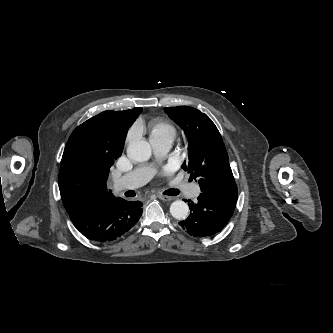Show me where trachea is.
Returning <instances> with one entry per match:
<instances>
[{
	"label": "trachea",
	"mask_w": 333,
	"mask_h": 333,
	"mask_svg": "<svg viewBox=\"0 0 333 333\" xmlns=\"http://www.w3.org/2000/svg\"><path fill=\"white\" fill-rule=\"evenodd\" d=\"M179 193H180V191L178 189H168L163 194H165V195H171V196H176Z\"/></svg>",
	"instance_id": "trachea-1"
}]
</instances>
